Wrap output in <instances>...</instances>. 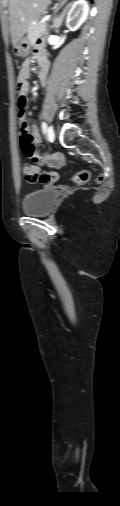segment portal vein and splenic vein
Segmentation results:
<instances>
[{"instance_id": "obj_1", "label": "portal vein and splenic vein", "mask_w": 120, "mask_h": 506, "mask_svg": "<svg viewBox=\"0 0 120 506\" xmlns=\"http://www.w3.org/2000/svg\"><path fill=\"white\" fill-rule=\"evenodd\" d=\"M49 19H50V16H47V17H45V18L41 21V23H44V22L48 21Z\"/></svg>"}]
</instances>
